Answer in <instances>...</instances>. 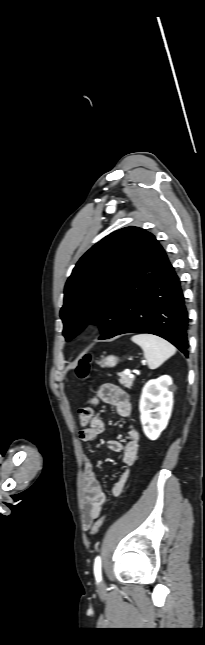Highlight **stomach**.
Listing matches in <instances>:
<instances>
[{
  "label": "stomach",
  "mask_w": 205,
  "mask_h": 645,
  "mask_svg": "<svg viewBox=\"0 0 205 645\" xmlns=\"http://www.w3.org/2000/svg\"><path fill=\"white\" fill-rule=\"evenodd\" d=\"M118 360L116 356L110 355L100 361L99 364L101 367H114L118 363Z\"/></svg>",
  "instance_id": "0dacf381"
}]
</instances>
